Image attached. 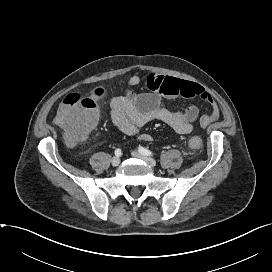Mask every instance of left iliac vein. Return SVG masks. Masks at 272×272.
<instances>
[{"label": "left iliac vein", "mask_w": 272, "mask_h": 272, "mask_svg": "<svg viewBox=\"0 0 272 272\" xmlns=\"http://www.w3.org/2000/svg\"><path fill=\"white\" fill-rule=\"evenodd\" d=\"M132 156L135 157V158H139V159L147 162L148 164H150L152 166L156 165V161L153 158L147 157V156H145V155H143V154H141V153H139L137 151L132 152Z\"/></svg>", "instance_id": "left-iliac-vein-1"}]
</instances>
